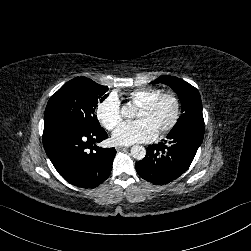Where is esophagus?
I'll list each match as a JSON object with an SVG mask.
<instances>
[{"instance_id":"34e87169","label":"esophagus","mask_w":251,"mask_h":251,"mask_svg":"<svg viewBox=\"0 0 251 251\" xmlns=\"http://www.w3.org/2000/svg\"><path fill=\"white\" fill-rule=\"evenodd\" d=\"M123 149H124L123 146H116V151H118V152L122 151Z\"/></svg>"}]
</instances>
